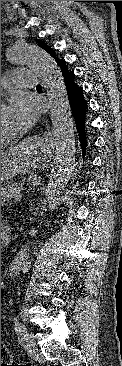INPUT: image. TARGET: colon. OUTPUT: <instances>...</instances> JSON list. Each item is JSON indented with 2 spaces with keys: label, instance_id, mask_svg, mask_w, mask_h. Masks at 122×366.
Instances as JSON below:
<instances>
[{
  "label": "colon",
  "instance_id": "obj_1",
  "mask_svg": "<svg viewBox=\"0 0 122 366\" xmlns=\"http://www.w3.org/2000/svg\"><path fill=\"white\" fill-rule=\"evenodd\" d=\"M1 355L2 356H6L7 355V350L4 346L1 345Z\"/></svg>",
  "mask_w": 122,
  "mask_h": 366
}]
</instances>
